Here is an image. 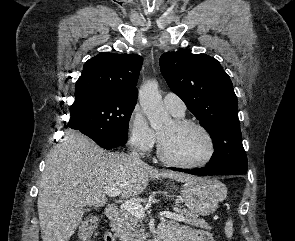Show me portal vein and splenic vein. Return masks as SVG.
<instances>
[{"mask_svg": "<svg viewBox=\"0 0 295 241\" xmlns=\"http://www.w3.org/2000/svg\"><path fill=\"white\" fill-rule=\"evenodd\" d=\"M105 193L110 197H115L121 193V190L118 187H110L106 189ZM122 206L126 211L130 212L137 218L145 217V208H143V206L138 202L127 200V201H124V203H122ZM160 215L175 221L185 220L184 216L176 214V213H172V212L165 211V212H162Z\"/></svg>", "mask_w": 295, "mask_h": 241, "instance_id": "portal-vein-and-splenic-vein-1", "label": "portal vein and splenic vein"}]
</instances>
